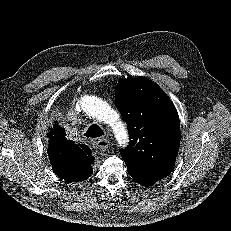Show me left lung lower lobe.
<instances>
[{"instance_id": "0a47b994", "label": "left lung lower lobe", "mask_w": 231, "mask_h": 231, "mask_svg": "<svg viewBox=\"0 0 231 231\" xmlns=\"http://www.w3.org/2000/svg\"><path fill=\"white\" fill-rule=\"evenodd\" d=\"M130 176L142 186H152L163 177L170 173L148 172V171H133L128 170Z\"/></svg>"}]
</instances>
